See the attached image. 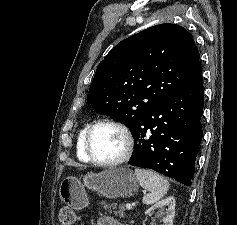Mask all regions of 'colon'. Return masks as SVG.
<instances>
[{
    "instance_id": "1",
    "label": "colon",
    "mask_w": 237,
    "mask_h": 225,
    "mask_svg": "<svg viewBox=\"0 0 237 225\" xmlns=\"http://www.w3.org/2000/svg\"><path fill=\"white\" fill-rule=\"evenodd\" d=\"M60 225H73L76 222V215L70 208L64 207L58 215Z\"/></svg>"
}]
</instances>
